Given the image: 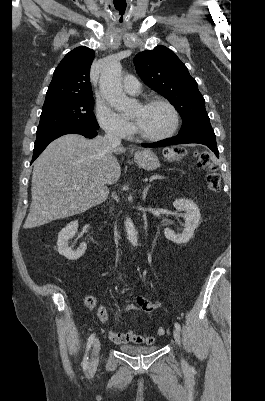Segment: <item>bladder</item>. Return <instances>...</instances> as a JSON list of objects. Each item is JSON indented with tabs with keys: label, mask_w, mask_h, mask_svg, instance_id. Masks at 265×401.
I'll return each instance as SVG.
<instances>
[{
	"label": "bladder",
	"mask_w": 265,
	"mask_h": 401,
	"mask_svg": "<svg viewBox=\"0 0 265 401\" xmlns=\"http://www.w3.org/2000/svg\"><path fill=\"white\" fill-rule=\"evenodd\" d=\"M157 349V346H146V347H136V346H121V350L129 354H146Z\"/></svg>",
	"instance_id": "1"
}]
</instances>
